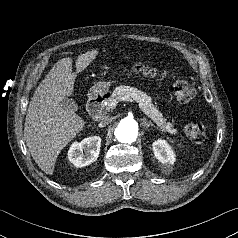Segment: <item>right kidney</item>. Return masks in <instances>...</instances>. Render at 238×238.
Instances as JSON below:
<instances>
[{"instance_id": "right-kidney-1", "label": "right kidney", "mask_w": 238, "mask_h": 238, "mask_svg": "<svg viewBox=\"0 0 238 238\" xmlns=\"http://www.w3.org/2000/svg\"><path fill=\"white\" fill-rule=\"evenodd\" d=\"M101 138L92 136L75 142L68 151V159L76 167H85L95 162L100 153Z\"/></svg>"}]
</instances>
